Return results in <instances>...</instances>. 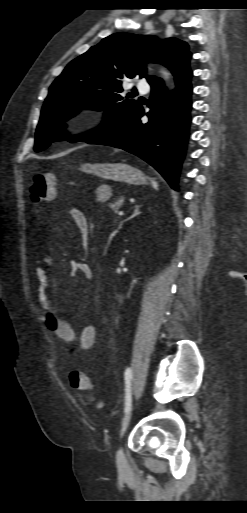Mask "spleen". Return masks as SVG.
<instances>
[{
  "mask_svg": "<svg viewBox=\"0 0 247 513\" xmlns=\"http://www.w3.org/2000/svg\"><path fill=\"white\" fill-rule=\"evenodd\" d=\"M152 184H153V186H154V188H155V189H157V188H158V184H157V182L153 181V182H152Z\"/></svg>",
  "mask_w": 247,
  "mask_h": 513,
  "instance_id": "3e777b00",
  "label": "spleen"
}]
</instances>
